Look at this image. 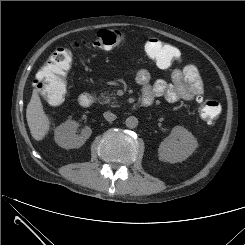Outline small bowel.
Returning a JSON list of instances; mask_svg holds the SVG:
<instances>
[{
  "mask_svg": "<svg viewBox=\"0 0 245 245\" xmlns=\"http://www.w3.org/2000/svg\"><path fill=\"white\" fill-rule=\"evenodd\" d=\"M136 81L141 86L142 99L163 98L169 103L200 100L203 93V82L198 69L191 64L171 71V82L157 80L151 82L148 70L140 69Z\"/></svg>",
  "mask_w": 245,
  "mask_h": 245,
  "instance_id": "c3829d8e",
  "label": "small bowel"
}]
</instances>
